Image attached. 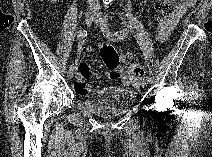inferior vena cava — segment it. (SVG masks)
I'll return each instance as SVG.
<instances>
[{"mask_svg": "<svg viewBox=\"0 0 212 157\" xmlns=\"http://www.w3.org/2000/svg\"><path fill=\"white\" fill-rule=\"evenodd\" d=\"M88 2H89L90 10L99 11V9H100L99 0H88Z\"/></svg>", "mask_w": 212, "mask_h": 157, "instance_id": "inferior-vena-cava-1", "label": "inferior vena cava"}]
</instances>
